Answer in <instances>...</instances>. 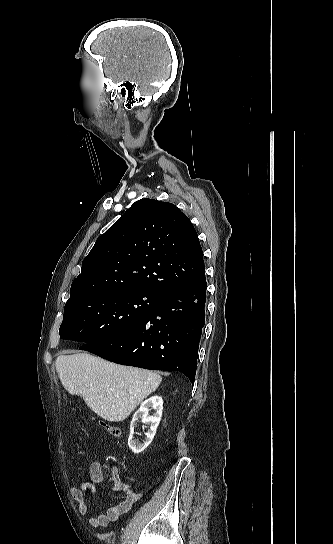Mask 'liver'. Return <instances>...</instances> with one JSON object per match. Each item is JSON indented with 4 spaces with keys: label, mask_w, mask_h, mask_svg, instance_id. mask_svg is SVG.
I'll use <instances>...</instances> for the list:
<instances>
[{
    "label": "liver",
    "mask_w": 333,
    "mask_h": 544,
    "mask_svg": "<svg viewBox=\"0 0 333 544\" xmlns=\"http://www.w3.org/2000/svg\"><path fill=\"white\" fill-rule=\"evenodd\" d=\"M56 370L70 394L82 395L94 413L110 422L127 418L162 381L155 372L115 364L88 353L58 356Z\"/></svg>",
    "instance_id": "6515ba94"
}]
</instances>
